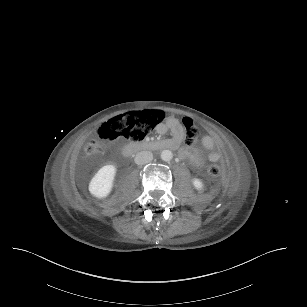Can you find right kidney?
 Returning a JSON list of instances; mask_svg holds the SVG:
<instances>
[{"label": "right kidney", "mask_w": 307, "mask_h": 307, "mask_svg": "<svg viewBox=\"0 0 307 307\" xmlns=\"http://www.w3.org/2000/svg\"><path fill=\"white\" fill-rule=\"evenodd\" d=\"M116 168L113 165H105L99 169L89 183V192L97 197L104 198L112 190Z\"/></svg>", "instance_id": "obj_1"}]
</instances>
